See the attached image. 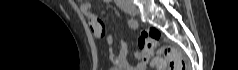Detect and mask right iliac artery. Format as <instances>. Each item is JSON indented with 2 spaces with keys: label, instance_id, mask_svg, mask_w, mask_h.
Instances as JSON below:
<instances>
[{
  "label": "right iliac artery",
  "instance_id": "82829eb1",
  "mask_svg": "<svg viewBox=\"0 0 238 70\" xmlns=\"http://www.w3.org/2000/svg\"><path fill=\"white\" fill-rule=\"evenodd\" d=\"M128 25H129V27H131V28H133V29H135V28L138 27V23H137V21L134 20V19H129V20H128Z\"/></svg>",
  "mask_w": 238,
  "mask_h": 70
}]
</instances>
